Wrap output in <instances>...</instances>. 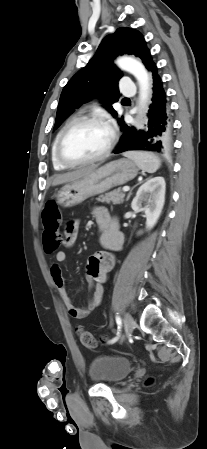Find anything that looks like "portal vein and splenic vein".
I'll return each instance as SVG.
<instances>
[{"label": "portal vein and splenic vein", "mask_w": 207, "mask_h": 449, "mask_svg": "<svg viewBox=\"0 0 207 449\" xmlns=\"http://www.w3.org/2000/svg\"><path fill=\"white\" fill-rule=\"evenodd\" d=\"M129 189H130V187H129V186H125V187H123V191H124V192H127V191H129Z\"/></svg>", "instance_id": "18ae733b"}]
</instances>
